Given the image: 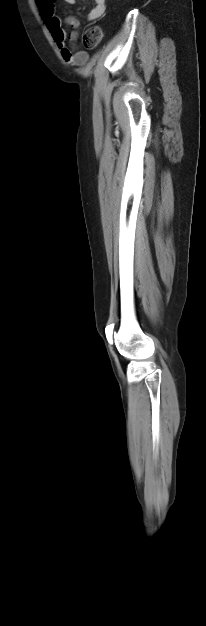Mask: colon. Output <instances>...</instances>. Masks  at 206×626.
I'll list each match as a JSON object with an SVG mask.
<instances>
[{"mask_svg": "<svg viewBox=\"0 0 206 626\" xmlns=\"http://www.w3.org/2000/svg\"><path fill=\"white\" fill-rule=\"evenodd\" d=\"M102 35V30L98 26L88 29L83 37L85 47L94 48L101 41Z\"/></svg>", "mask_w": 206, "mask_h": 626, "instance_id": "5ec220e1", "label": "colon"}]
</instances>
